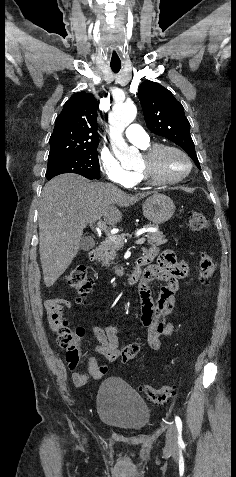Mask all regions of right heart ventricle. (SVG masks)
<instances>
[{
    "label": "right heart ventricle",
    "mask_w": 236,
    "mask_h": 477,
    "mask_svg": "<svg viewBox=\"0 0 236 477\" xmlns=\"http://www.w3.org/2000/svg\"><path fill=\"white\" fill-rule=\"evenodd\" d=\"M141 148L146 150L149 148V144ZM132 177H133V184H137L142 181L137 172H132Z\"/></svg>",
    "instance_id": "1"
}]
</instances>
